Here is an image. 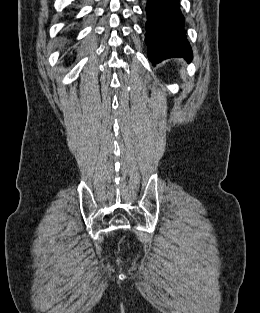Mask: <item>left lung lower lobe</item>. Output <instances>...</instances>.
<instances>
[{
    "instance_id": "left-lung-lower-lobe-1",
    "label": "left lung lower lobe",
    "mask_w": 260,
    "mask_h": 313,
    "mask_svg": "<svg viewBox=\"0 0 260 313\" xmlns=\"http://www.w3.org/2000/svg\"><path fill=\"white\" fill-rule=\"evenodd\" d=\"M145 41L152 63L170 57L192 60V49L183 28L184 17L179 0H148Z\"/></svg>"
}]
</instances>
